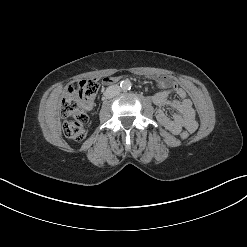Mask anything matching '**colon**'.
<instances>
[{"mask_svg": "<svg viewBox=\"0 0 247 247\" xmlns=\"http://www.w3.org/2000/svg\"><path fill=\"white\" fill-rule=\"evenodd\" d=\"M99 90L96 79L81 80L76 86H70L60 104V113L64 120V132L71 141H81L87 135L85 124L87 115L84 103L94 98ZM190 135L184 130L180 136L183 140Z\"/></svg>", "mask_w": 247, "mask_h": 247, "instance_id": "obj_1", "label": "colon"}]
</instances>
